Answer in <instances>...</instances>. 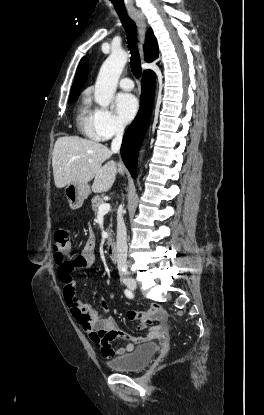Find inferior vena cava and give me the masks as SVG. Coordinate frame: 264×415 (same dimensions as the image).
I'll list each match as a JSON object with an SVG mask.
<instances>
[{"label": "inferior vena cava", "instance_id": "inferior-vena-cava-1", "mask_svg": "<svg viewBox=\"0 0 264 415\" xmlns=\"http://www.w3.org/2000/svg\"><path fill=\"white\" fill-rule=\"evenodd\" d=\"M124 126L121 123L116 125L115 138L111 143V151L117 153L120 151ZM127 233L124 223L122 209L117 214V267L120 276H125L129 272L127 270Z\"/></svg>", "mask_w": 264, "mask_h": 415}]
</instances>
